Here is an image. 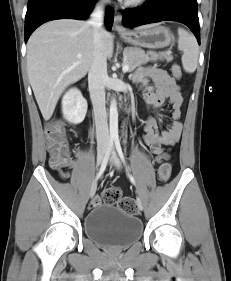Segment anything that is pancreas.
<instances>
[{"label":"pancreas","instance_id":"cf45deb5","mask_svg":"<svg viewBox=\"0 0 231 281\" xmlns=\"http://www.w3.org/2000/svg\"><path fill=\"white\" fill-rule=\"evenodd\" d=\"M123 56L124 63L129 65V72L150 61L156 62L158 60H166L167 62H170L173 60V57L165 52L156 53L149 51L145 53V51L140 48L132 47H126L123 51Z\"/></svg>","mask_w":231,"mask_h":281}]
</instances>
